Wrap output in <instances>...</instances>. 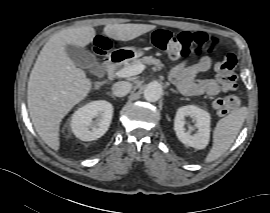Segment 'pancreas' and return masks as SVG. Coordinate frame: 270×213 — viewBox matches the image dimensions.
<instances>
[{"instance_id":"1","label":"pancreas","mask_w":270,"mask_h":213,"mask_svg":"<svg viewBox=\"0 0 270 213\" xmlns=\"http://www.w3.org/2000/svg\"><path fill=\"white\" fill-rule=\"evenodd\" d=\"M135 64L154 65L158 70H161L164 67V64H162L159 59L153 58L152 56H146L141 59L135 58L130 63L126 62L124 64V68L135 65Z\"/></svg>"}]
</instances>
